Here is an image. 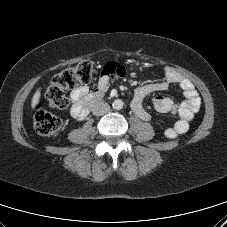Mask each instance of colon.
<instances>
[{
	"mask_svg": "<svg viewBox=\"0 0 227 227\" xmlns=\"http://www.w3.org/2000/svg\"><path fill=\"white\" fill-rule=\"evenodd\" d=\"M93 74V64L82 61L53 76L47 87L45 97L48 104L57 109L68 107L67 91L89 83ZM61 120L47 111L41 103L35 107L34 127L44 136L55 135L61 128Z\"/></svg>",
	"mask_w": 227,
	"mask_h": 227,
	"instance_id": "obj_1",
	"label": "colon"
}]
</instances>
